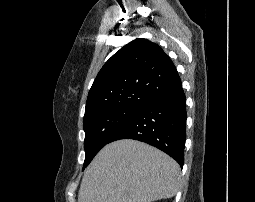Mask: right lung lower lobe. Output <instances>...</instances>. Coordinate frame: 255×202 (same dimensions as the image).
I'll return each mask as SVG.
<instances>
[{"label": "right lung lower lobe", "instance_id": "98d812e1", "mask_svg": "<svg viewBox=\"0 0 255 202\" xmlns=\"http://www.w3.org/2000/svg\"><path fill=\"white\" fill-rule=\"evenodd\" d=\"M186 97L182 87L162 94L139 110L110 138L135 139L164 151L182 167L186 140Z\"/></svg>", "mask_w": 255, "mask_h": 202}]
</instances>
